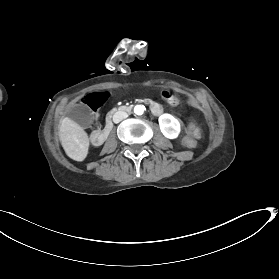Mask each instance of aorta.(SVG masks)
<instances>
[{
    "label": "aorta",
    "mask_w": 279,
    "mask_h": 279,
    "mask_svg": "<svg viewBox=\"0 0 279 279\" xmlns=\"http://www.w3.org/2000/svg\"><path fill=\"white\" fill-rule=\"evenodd\" d=\"M145 107L143 105H136L134 107V113L137 115H142L144 113Z\"/></svg>",
    "instance_id": "aorta-1"
}]
</instances>
